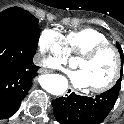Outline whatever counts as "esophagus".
Instances as JSON below:
<instances>
[{
    "mask_svg": "<svg viewBox=\"0 0 124 124\" xmlns=\"http://www.w3.org/2000/svg\"><path fill=\"white\" fill-rule=\"evenodd\" d=\"M72 92H74V90H73V89H70V90L68 91V93H66V94L69 95V94L72 93Z\"/></svg>",
    "mask_w": 124,
    "mask_h": 124,
    "instance_id": "34e87169",
    "label": "esophagus"
}]
</instances>
